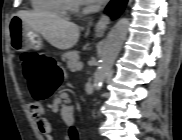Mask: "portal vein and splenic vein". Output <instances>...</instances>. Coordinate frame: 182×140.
I'll return each instance as SVG.
<instances>
[{"label":"portal vein and splenic vein","instance_id":"18ae733b","mask_svg":"<svg viewBox=\"0 0 182 140\" xmlns=\"http://www.w3.org/2000/svg\"><path fill=\"white\" fill-rule=\"evenodd\" d=\"M82 67H83V63L82 62H79L78 65H77V70L82 69Z\"/></svg>","mask_w":182,"mask_h":140}]
</instances>
